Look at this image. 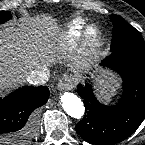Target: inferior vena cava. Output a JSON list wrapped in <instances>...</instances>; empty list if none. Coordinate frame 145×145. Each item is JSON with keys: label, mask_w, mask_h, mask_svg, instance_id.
I'll return each instance as SVG.
<instances>
[{"label": "inferior vena cava", "mask_w": 145, "mask_h": 145, "mask_svg": "<svg viewBox=\"0 0 145 145\" xmlns=\"http://www.w3.org/2000/svg\"><path fill=\"white\" fill-rule=\"evenodd\" d=\"M49 72L45 70H35L31 71L27 75V81L34 85L45 84L48 81Z\"/></svg>", "instance_id": "inferior-vena-cava-1"}]
</instances>
